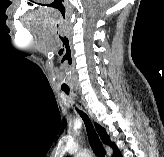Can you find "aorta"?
Here are the masks:
<instances>
[{"instance_id":"obj_1","label":"aorta","mask_w":164,"mask_h":157,"mask_svg":"<svg viewBox=\"0 0 164 157\" xmlns=\"http://www.w3.org/2000/svg\"><path fill=\"white\" fill-rule=\"evenodd\" d=\"M76 157H90V153L87 150L79 152Z\"/></svg>"}]
</instances>
